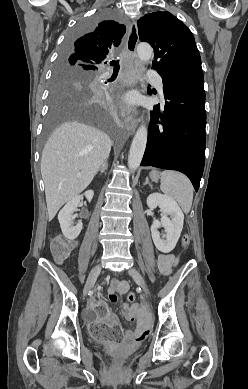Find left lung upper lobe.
Wrapping results in <instances>:
<instances>
[{"label": "left lung upper lobe", "instance_id": "5c2ea615", "mask_svg": "<svg viewBox=\"0 0 248 389\" xmlns=\"http://www.w3.org/2000/svg\"><path fill=\"white\" fill-rule=\"evenodd\" d=\"M137 24L140 40L154 49L152 67L163 80L183 73L203 72L191 31L171 13L146 14Z\"/></svg>", "mask_w": 248, "mask_h": 389}]
</instances>
